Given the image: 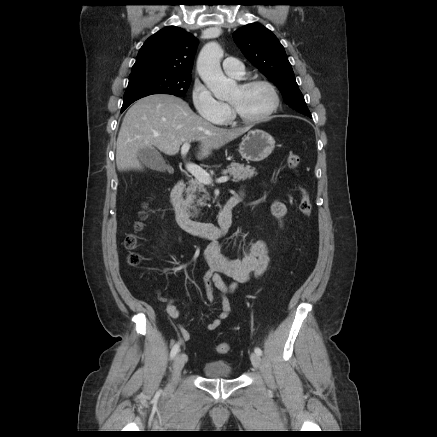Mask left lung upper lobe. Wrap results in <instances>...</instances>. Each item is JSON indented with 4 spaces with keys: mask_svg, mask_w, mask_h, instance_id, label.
<instances>
[{
    "mask_svg": "<svg viewBox=\"0 0 437 437\" xmlns=\"http://www.w3.org/2000/svg\"><path fill=\"white\" fill-rule=\"evenodd\" d=\"M233 39L244 56L278 87L286 104L311 117L285 50L272 32L252 23L236 30Z\"/></svg>",
    "mask_w": 437,
    "mask_h": 437,
    "instance_id": "5c2ea615",
    "label": "left lung upper lobe"
}]
</instances>
